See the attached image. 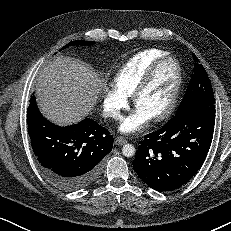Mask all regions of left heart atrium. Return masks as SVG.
Returning a JSON list of instances; mask_svg holds the SVG:
<instances>
[{"mask_svg": "<svg viewBox=\"0 0 231 231\" xmlns=\"http://www.w3.org/2000/svg\"><path fill=\"white\" fill-rule=\"evenodd\" d=\"M150 119L151 117L148 114L137 108L123 120L120 130L127 134L135 133L141 130Z\"/></svg>", "mask_w": 231, "mask_h": 231, "instance_id": "39dd6f15", "label": "left heart atrium"}]
</instances>
